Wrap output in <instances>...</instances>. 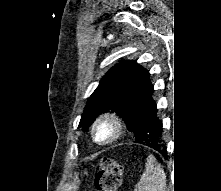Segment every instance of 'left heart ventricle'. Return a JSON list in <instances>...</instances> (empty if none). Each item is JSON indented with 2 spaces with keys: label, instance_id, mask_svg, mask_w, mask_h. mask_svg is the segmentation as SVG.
Listing matches in <instances>:
<instances>
[{
  "label": "left heart ventricle",
  "instance_id": "obj_1",
  "mask_svg": "<svg viewBox=\"0 0 221 191\" xmlns=\"http://www.w3.org/2000/svg\"><path fill=\"white\" fill-rule=\"evenodd\" d=\"M109 133H110V128L107 126H104L98 130L97 137L100 140H104L109 136Z\"/></svg>",
  "mask_w": 221,
  "mask_h": 191
}]
</instances>
